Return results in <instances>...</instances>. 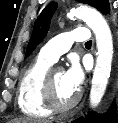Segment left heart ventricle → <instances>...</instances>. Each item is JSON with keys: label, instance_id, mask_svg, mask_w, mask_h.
<instances>
[{"label": "left heart ventricle", "instance_id": "b2bd125f", "mask_svg": "<svg viewBox=\"0 0 118 123\" xmlns=\"http://www.w3.org/2000/svg\"><path fill=\"white\" fill-rule=\"evenodd\" d=\"M53 84L56 99L62 104L69 102L77 93V91L71 89L66 83L63 71H56L53 74Z\"/></svg>", "mask_w": 118, "mask_h": 123}]
</instances>
